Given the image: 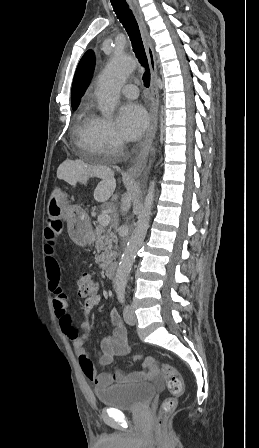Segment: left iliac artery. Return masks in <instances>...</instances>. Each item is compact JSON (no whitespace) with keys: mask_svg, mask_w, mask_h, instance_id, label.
I'll use <instances>...</instances> for the list:
<instances>
[{"mask_svg":"<svg viewBox=\"0 0 259 448\" xmlns=\"http://www.w3.org/2000/svg\"><path fill=\"white\" fill-rule=\"evenodd\" d=\"M116 292L118 299L121 303L124 302V294H125V284L124 283H118L116 285Z\"/></svg>","mask_w":259,"mask_h":448,"instance_id":"obj_1","label":"left iliac artery"}]
</instances>
